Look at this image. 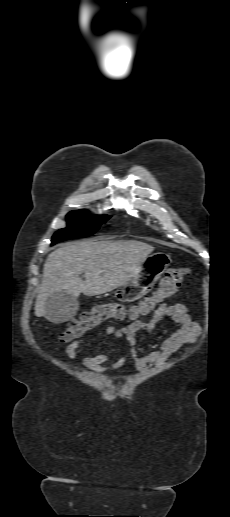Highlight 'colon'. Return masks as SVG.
Segmentation results:
<instances>
[{
    "label": "colon",
    "instance_id": "5ec220e1",
    "mask_svg": "<svg viewBox=\"0 0 230 517\" xmlns=\"http://www.w3.org/2000/svg\"><path fill=\"white\" fill-rule=\"evenodd\" d=\"M188 273L189 271L186 268L168 270L158 289L136 304L125 305L110 302L95 306L90 311L82 313L78 319L68 323L66 329L60 334L61 341L79 340L90 330L109 319L123 320L129 318L135 320L151 314L164 300L176 294Z\"/></svg>",
    "mask_w": 230,
    "mask_h": 517
}]
</instances>
